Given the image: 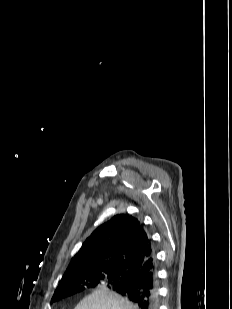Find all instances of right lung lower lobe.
Wrapping results in <instances>:
<instances>
[{
  "label": "right lung lower lobe",
  "instance_id": "obj_1",
  "mask_svg": "<svg viewBox=\"0 0 232 309\" xmlns=\"http://www.w3.org/2000/svg\"><path fill=\"white\" fill-rule=\"evenodd\" d=\"M127 282L113 287L117 293L137 304L139 309H158L157 266L155 254L146 259L138 268L131 267Z\"/></svg>",
  "mask_w": 232,
  "mask_h": 309
}]
</instances>
